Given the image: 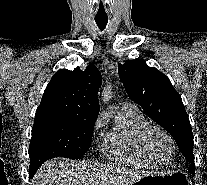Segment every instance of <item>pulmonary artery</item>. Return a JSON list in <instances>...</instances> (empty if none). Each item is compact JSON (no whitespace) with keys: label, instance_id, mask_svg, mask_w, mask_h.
<instances>
[{"label":"pulmonary artery","instance_id":"pulmonary-artery-1","mask_svg":"<svg viewBox=\"0 0 207 185\" xmlns=\"http://www.w3.org/2000/svg\"><path fill=\"white\" fill-rule=\"evenodd\" d=\"M123 109L135 110L136 108L134 105L126 103L124 104Z\"/></svg>","mask_w":207,"mask_h":185}]
</instances>
